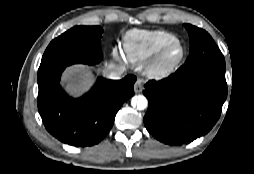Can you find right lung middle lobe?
<instances>
[{"instance_id":"obj_1","label":"right lung middle lobe","mask_w":254,"mask_h":174,"mask_svg":"<svg viewBox=\"0 0 254 174\" xmlns=\"http://www.w3.org/2000/svg\"><path fill=\"white\" fill-rule=\"evenodd\" d=\"M102 32L100 26H75L52 40L43 54L38 79L63 66L99 63L103 57Z\"/></svg>"}]
</instances>
